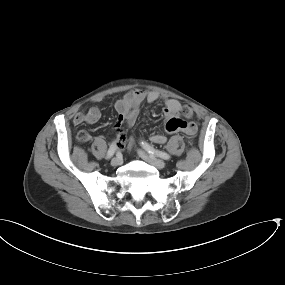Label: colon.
Segmentation results:
<instances>
[{
    "label": "colon",
    "instance_id": "obj_1",
    "mask_svg": "<svg viewBox=\"0 0 285 285\" xmlns=\"http://www.w3.org/2000/svg\"><path fill=\"white\" fill-rule=\"evenodd\" d=\"M182 114H183V116L186 118V119H189V118H191L192 116H193V114H194V110H193V108H192V106H190V105H185V106H183V109H182ZM190 133H192L193 134V128H192V126H190ZM89 139H88V136L86 135V134H83L79 139H78V141L79 142H86V141H88Z\"/></svg>",
    "mask_w": 285,
    "mask_h": 285
}]
</instances>
